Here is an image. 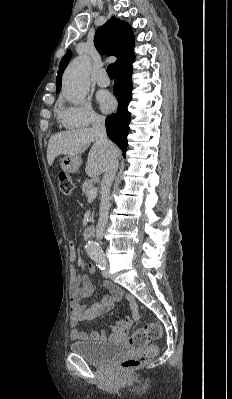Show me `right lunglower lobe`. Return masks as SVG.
Masks as SVG:
<instances>
[{"instance_id": "right-lung-lower-lobe-1", "label": "right lung lower lobe", "mask_w": 232, "mask_h": 399, "mask_svg": "<svg viewBox=\"0 0 232 399\" xmlns=\"http://www.w3.org/2000/svg\"><path fill=\"white\" fill-rule=\"evenodd\" d=\"M134 58L115 68L114 94L118 100V110L106 118L105 124L108 137L125 152L127 148V134L129 133V123L131 120L127 106L132 96V63Z\"/></svg>"}]
</instances>
